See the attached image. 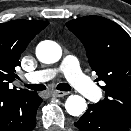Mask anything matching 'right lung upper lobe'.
I'll return each instance as SVG.
<instances>
[{
	"label": "right lung upper lobe",
	"mask_w": 131,
	"mask_h": 131,
	"mask_svg": "<svg viewBox=\"0 0 131 131\" xmlns=\"http://www.w3.org/2000/svg\"><path fill=\"white\" fill-rule=\"evenodd\" d=\"M47 25L48 22L37 20H13L0 24V95L28 91L10 89L9 84L17 77L15 67L21 66V53Z\"/></svg>",
	"instance_id": "cb5924a9"
}]
</instances>
